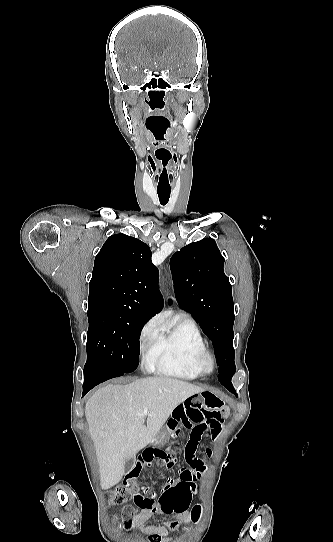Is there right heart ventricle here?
Masks as SVG:
<instances>
[{
  "mask_svg": "<svg viewBox=\"0 0 333 542\" xmlns=\"http://www.w3.org/2000/svg\"><path fill=\"white\" fill-rule=\"evenodd\" d=\"M204 349L203 336L192 319L180 320L170 328L159 321V337L144 346L142 362L151 371L192 380L201 375L196 358Z\"/></svg>",
  "mask_w": 333,
  "mask_h": 542,
  "instance_id": "e07e8e85",
  "label": "right heart ventricle"
}]
</instances>
